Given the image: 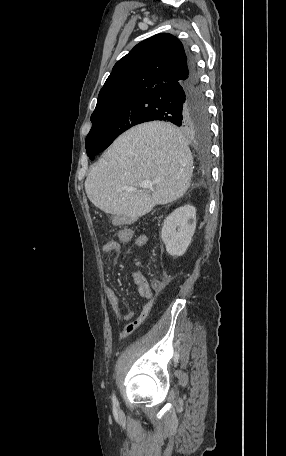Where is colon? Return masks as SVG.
Here are the masks:
<instances>
[{
    "instance_id": "5ec220e1",
    "label": "colon",
    "mask_w": 286,
    "mask_h": 456,
    "mask_svg": "<svg viewBox=\"0 0 286 456\" xmlns=\"http://www.w3.org/2000/svg\"><path fill=\"white\" fill-rule=\"evenodd\" d=\"M131 233H132V231H131L130 229H127V234H131ZM161 285H162V283H161L159 280H155V281H154V287H155V288L158 289V288L161 287Z\"/></svg>"
}]
</instances>
